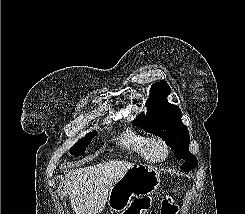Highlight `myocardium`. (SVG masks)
Masks as SVG:
<instances>
[{
	"instance_id": "myocardium-1",
	"label": "myocardium",
	"mask_w": 245,
	"mask_h": 214,
	"mask_svg": "<svg viewBox=\"0 0 245 214\" xmlns=\"http://www.w3.org/2000/svg\"><path fill=\"white\" fill-rule=\"evenodd\" d=\"M155 147H160L163 150V155L160 157H157L153 154V149ZM147 153L148 158L152 162H160L168 158L170 154V148L165 140L159 137H152L149 138L147 143Z\"/></svg>"
}]
</instances>
